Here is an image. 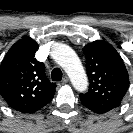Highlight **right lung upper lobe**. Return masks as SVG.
<instances>
[{"instance_id":"1","label":"right lung upper lobe","mask_w":133,"mask_h":133,"mask_svg":"<svg viewBox=\"0 0 133 133\" xmlns=\"http://www.w3.org/2000/svg\"><path fill=\"white\" fill-rule=\"evenodd\" d=\"M37 47L30 37L19 40L0 67V94L11 108L22 113L40 110L55 94L56 84L47 78L45 65L35 59Z\"/></svg>"}]
</instances>
